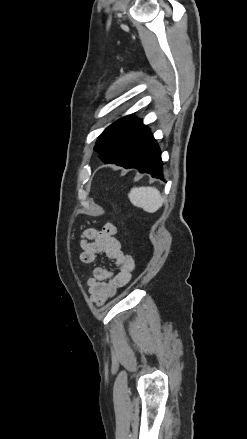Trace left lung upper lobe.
<instances>
[{
  "mask_svg": "<svg viewBox=\"0 0 247 439\" xmlns=\"http://www.w3.org/2000/svg\"><path fill=\"white\" fill-rule=\"evenodd\" d=\"M125 116L101 134L94 150L105 163L122 166L138 134L145 127L142 121Z\"/></svg>",
  "mask_w": 247,
  "mask_h": 439,
  "instance_id": "1",
  "label": "left lung upper lobe"
}]
</instances>
